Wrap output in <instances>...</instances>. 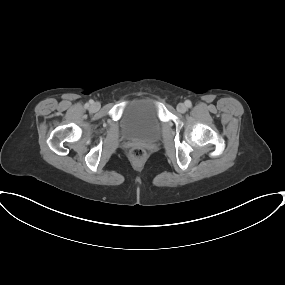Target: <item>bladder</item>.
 I'll use <instances>...</instances> for the list:
<instances>
[{
  "label": "bladder",
  "instance_id": "31cf9c89",
  "mask_svg": "<svg viewBox=\"0 0 285 285\" xmlns=\"http://www.w3.org/2000/svg\"><path fill=\"white\" fill-rule=\"evenodd\" d=\"M121 128L128 139L156 141L161 133L156 103L149 98L132 100L123 110Z\"/></svg>",
  "mask_w": 285,
  "mask_h": 285
}]
</instances>
